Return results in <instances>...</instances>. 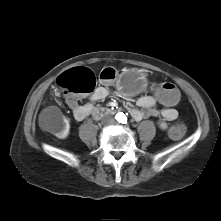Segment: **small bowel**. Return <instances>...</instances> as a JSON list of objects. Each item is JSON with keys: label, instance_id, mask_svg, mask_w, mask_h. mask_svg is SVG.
<instances>
[{"label": "small bowel", "instance_id": "1", "mask_svg": "<svg viewBox=\"0 0 221 221\" xmlns=\"http://www.w3.org/2000/svg\"><path fill=\"white\" fill-rule=\"evenodd\" d=\"M109 94V89L106 86H99L89 96V102L79 104L76 98H67V104L73 112L76 120L81 121L97 109L95 103L105 99ZM160 102L150 95L140 96L136 105L137 108L129 107V113L133 119L140 121L144 118L159 117L166 121H174L178 117L176 108H165L164 106L159 109Z\"/></svg>", "mask_w": 221, "mask_h": 221}]
</instances>
